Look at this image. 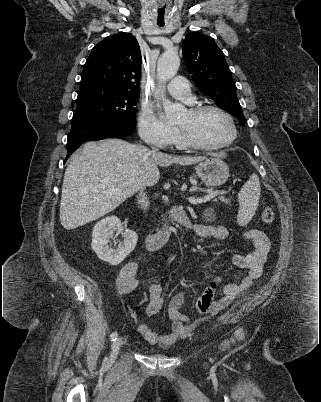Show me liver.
<instances>
[{
    "label": "liver",
    "instance_id": "liver-1",
    "mask_svg": "<svg viewBox=\"0 0 321 402\" xmlns=\"http://www.w3.org/2000/svg\"><path fill=\"white\" fill-rule=\"evenodd\" d=\"M204 157L173 156L122 139L87 142L66 168L60 221L72 230L113 211L160 179L158 166L191 165Z\"/></svg>",
    "mask_w": 321,
    "mask_h": 402
}]
</instances>
